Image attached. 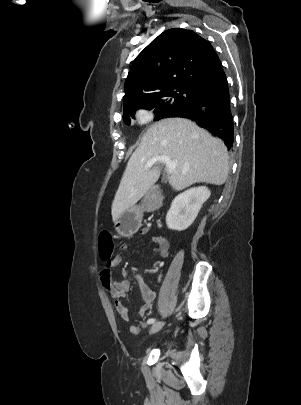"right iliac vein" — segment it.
<instances>
[{
  "mask_svg": "<svg viewBox=\"0 0 301 405\" xmlns=\"http://www.w3.org/2000/svg\"><path fill=\"white\" fill-rule=\"evenodd\" d=\"M164 326L163 322H156L151 326L150 332L152 334L157 333Z\"/></svg>",
  "mask_w": 301,
  "mask_h": 405,
  "instance_id": "right-iliac-vein-1",
  "label": "right iliac vein"
}]
</instances>
